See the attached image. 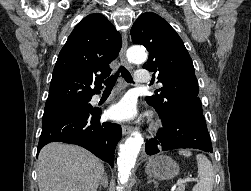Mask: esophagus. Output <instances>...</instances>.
Masks as SVG:
<instances>
[{
	"instance_id": "1",
	"label": "esophagus",
	"mask_w": 251,
	"mask_h": 191,
	"mask_svg": "<svg viewBox=\"0 0 251 191\" xmlns=\"http://www.w3.org/2000/svg\"><path fill=\"white\" fill-rule=\"evenodd\" d=\"M127 45H128L127 35H126V33H123V35H122V48L120 50V59L125 66H127L128 68H132L131 64L129 63V61L126 58ZM132 131H133L132 126L124 125L122 127L123 135H129L130 133H132Z\"/></svg>"
}]
</instances>
